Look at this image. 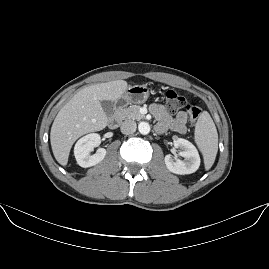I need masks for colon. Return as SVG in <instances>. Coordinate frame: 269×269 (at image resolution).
<instances>
[{"mask_svg":"<svg viewBox=\"0 0 269 269\" xmlns=\"http://www.w3.org/2000/svg\"><path fill=\"white\" fill-rule=\"evenodd\" d=\"M164 105L170 113H177L181 109L185 108V110L189 113L192 123H196L202 113L198 105L186 102L183 95L174 91H167L165 93Z\"/></svg>","mask_w":269,"mask_h":269,"instance_id":"colon-1","label":"colon"}]
</instances>
